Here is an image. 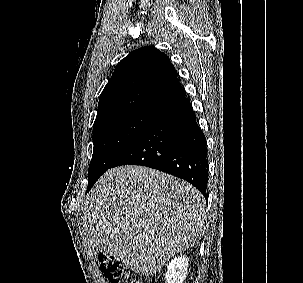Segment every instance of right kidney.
<instances>
[{
    "label": "right kidney",
    "instance_id": "right-kidney-1",
    "mask_svg": "<svg viewBox=\"0 0 303 283\" xmlns=\"http://www.w3.org/2000/svg\"><path fill=\"white\" fill-rule=\"evenodd\" d=\"M189 259L186 256L174 258L167 266L166 283H183L187 275Z\"/></svg>",
    "mask_w": 303,
    "mask_h": 283
}]
</instances>
